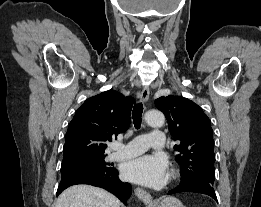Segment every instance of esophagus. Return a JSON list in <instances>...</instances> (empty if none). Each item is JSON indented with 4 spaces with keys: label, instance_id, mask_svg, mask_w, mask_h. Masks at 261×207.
Returning a JSON list of instances; mask_svg holds the SVG:
<instances>
[{
    "label": "esophagus",
    "instance_id": "obj_1",
    "mask_svg": "<svg viewBox=\"0 0 261 207\" xmlns=\"http://www.w3.org/2000/svg\"><path fill=\"white\" fill-rule=\"evenodd\" d=\"M139 101L146 103L149 99V88L145 86L142 91L138 94ZM135 195L145 204L152 202V196L142 188H136L134 190Z\"/></svg>",
    "mask_w": 261,
    "mask_h": 207
}]
</instances>
